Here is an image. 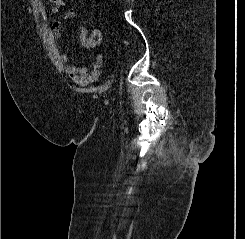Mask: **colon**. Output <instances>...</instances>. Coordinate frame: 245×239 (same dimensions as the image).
<instances>
[{
  "label": "colon",
  "mask_w": 245,
  "mask_h": 239,
  "mask_svg": "<svg viewBox=\"0 0 245 239\" xmlns=\"http://www.w3.org/2000/svg\"><path fill=\"white\" fill-rule=\"evenodd\" d=\"M50 2H54V0H49ZM92 42H95V39L92 38Z\"/></svg>",
  "instance_id": "1"
}]
</instances>
